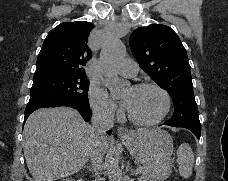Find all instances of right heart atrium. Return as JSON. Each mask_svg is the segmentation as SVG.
Wrapping results in <instances>:
<instances>
[{
    "label": "right heart atrium",
    "instance_id": "1",
    "mask_svg": "<svg viewBox=\"0 0 228 181\" xmlns=\"http://www.w3.org/2000/svg\"><path fill=\"white\" fill-rule=\"evenodd\" d=\"M90 102L93 110L104 117L110 118L118 112L115 103L100 85L95 84L91 86Z\"/></svg>",
    "mask_w": 228,
    "mask_h": 181
}]
</instances>
